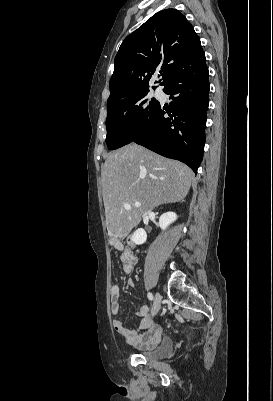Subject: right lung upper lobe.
<instances>
[{
    "mask_svg": "<svg viewBox=\"0 0 273 401\" xmlns=\"http://www.w3.org/2000/svg\"><path fill=\"white\" fill-rule=\"evenodd\" d=\"M204 61L200 39L186 17L176 9L159 11L121 44L107 107L149 90L151 76L158 69L163 80L160 85H164L178 69Z\"/></svg>",
    "mask_w": 273,
    "mask_h": 401,
    "instance_id": "obj_1",
    "label": "right lung upper lobe"
}]
</instances>
